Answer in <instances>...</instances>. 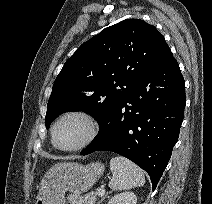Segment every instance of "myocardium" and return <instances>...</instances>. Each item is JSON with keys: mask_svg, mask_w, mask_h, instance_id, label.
I'll return each instance as SVG.
<instances>
[{"mask_svg": "<svg viewBox=\"0 0 212 204\" xmlns=\"http://www.w3.org/2000/svg\"><path fill=\"white\" fill-rule=\"evenodd\" d=\"M70 117L79 118L84 122V124L86 126V135H85L84 139L79 144H77L73 147L65 148V147H61L56 142L55 130H56L57 126L63 120L70 118ZM98 132H99L98 122L92 114H90L86 111H83V110H69V111H66L63 114H61L56 119V121L53 123V125L51 127V140H52L53 145L58 150H61V151H64V152H75V151L82 150L85 147H87L89 144H91L92 141L96 138Z\"/></svg>", "mask_w": 212, "mask_h": 204, "instance_id": "1", "label": "myocardium"}]
</instances>
